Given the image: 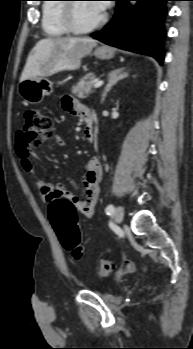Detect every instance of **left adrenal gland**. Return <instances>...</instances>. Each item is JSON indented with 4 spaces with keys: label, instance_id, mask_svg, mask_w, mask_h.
<instances>
[{
    "label": "left adrenal gland",
    "instance_id": "1",
    "mask_svg": "<svg viewBox=\"0 0 193 349\" xmlns=\"http://www.w3.org/2000/svg\"><path fill=\"white\" fill-rule=\"evenodd\" d=\"M126 68H119L112 72H110L108 77V84L106 85L101 98V103L104 102L107 93L112 89L114 85H116L120 80L125 79L128 77V73L125 72Z\"/></svg>",
    "mask_w": 193,
    "mask_h": 349
}]
</instances>
